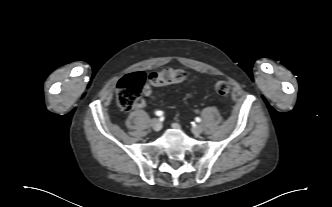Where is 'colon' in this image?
<instances>
[{"instance_id": "obj_1", "label": "colon", "mask_w": 332, "mask_h": 207, "mask_svg": "<svg viewBox=\"0 0 332 207\" xmlns=\"http://www.w3.org/2000/svg\"><path fill=\"white\" fill-rule=\"evenodd\" d=\"M146 80L153 86H166L184 82L187 80V75L184 71L173 68H165L148 76L143 72L126 75L117 86V103L121 110L129 111L135 106ZM215 90L219 95L227 97L231 87L226 81H218L215 84Z\"/></svg>"}]
</instances>
